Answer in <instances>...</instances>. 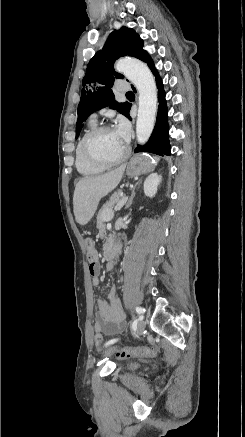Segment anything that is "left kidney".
Segmentation results:
<instances>
[{"instance_id":"1","label":"left kidney","mask_w":245,"mask_h":437,"mask_svg":"<svg viewBox=\"0 0 245 437\" xmlns=\"http://www.w3.org/2000/svg\"><path fill=\"white\" fill-rule=\"evenodd\" d=\"M160 182H161V175H158L157 173L150 174L144 182L145 195L150 198L154 197Z\"/></svg>"}]
</instances>
